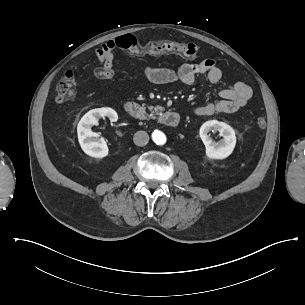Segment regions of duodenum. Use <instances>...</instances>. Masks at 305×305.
<instances>
[{
	"label": "duodenum",
	"mask_w": 305,
	"mask_h": 305,
	"mask_svg": "<svg viewBox=\"0 0 305 305\" xmlns=\"http://www.w3.org/2000/svg\"><path fill=\"white\" fill-rule=\"evenodd\" d=\"M123 109L125 113L135 119L147 118V113L144 107L138 102L128 101L124 104ZM179 115L171 110L163 111L158 115V121L166 127L174 128L179 124Z\"/></svg>",
	"instance_id": "obj_1"
}]
</instances>
